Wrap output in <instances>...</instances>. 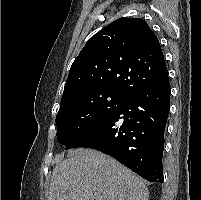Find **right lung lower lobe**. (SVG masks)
Listing matches in <instances>:
<instances>
[{
	"label": "right lung lower lobe",
	"instance_id": "right-lung-lower-lobe-1",
	"mask_svg": "<svg viewBox=\"0 0 201 200\" xmlns=\"http://www.w3.org/2000/svg\"><path fill=\"white\" fill-rule=\"evenodd\" d=\"M168 73L130 94L122 105L77 136L66 149L108 154L150 182H163L164 131L170 108Z\"/></svg>",
	"mask_w": 201,
	"mask_h": 200
}]
</instances>
